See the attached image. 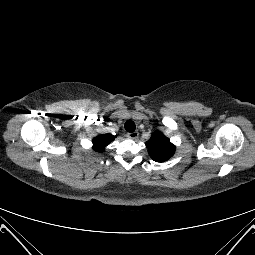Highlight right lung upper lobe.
<instances>
[{
	"instance_id": "1",
	"label": "right lung upper lobe",
	"mask_w": 255,
	"mask_h": 255,
	"mask_svg": "<svg viewBox=\"0 0 255 255\" xmlns=\"http://www.w3.org/2000/svg\"><path fill=\"white\" fill-rule=\"evenodd\" d=\"M115 139V136L111 134L99 135L93 139V149L98 152L104 151L105 146H107L111 141Z\"/></svg>"
}]
</instances>
